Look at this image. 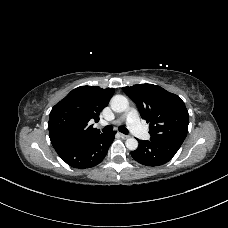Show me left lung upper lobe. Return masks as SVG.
<instances>
[{"instance_id": "5c2ea615", "label": "left lung upper lobe", "mask_w": 228, "mask_h": 228, "mask_svg": "<svg viewBox=\"0 0 228 228\" xmlns=\"http://www.w3.org/2000/svg\"><path fill=\"white\" fill-rule=\"evenodd\" d=\"M123 90L137 105L142 119L150 123L152 140L183 143L189 115L179 96L153 84L123 87Z\"/></svg>"}]
</instances>
